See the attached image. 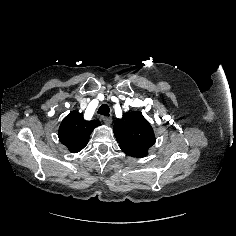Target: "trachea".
I'll return each instance as SVG.
<instances>
[{"instance_id":"3493384b","label":"trachea","mask_w":236,"mask_h":236,"mask_svg":"<svg viewBox=\"0 0 236 236\" xmlns=\"http://www.w3.org/2000/svg\"><path fill=\"white\" fill-rule=\"evenodd\" d=\"M97 113L100 114V115L109 116L110 108L107 104H102L99 107Z\"/></svg>"}]
</instances>
